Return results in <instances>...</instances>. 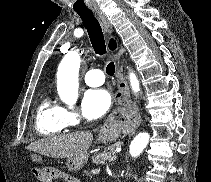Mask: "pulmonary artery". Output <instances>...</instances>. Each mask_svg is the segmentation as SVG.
<instances>
[{
    "instance_id": "1",
    "label": "pulmonary artery",
    "mask_w": 211,
    "mask_h": 182,
    "mask_svg": "<svg viewBox=\"0 0 211 182\" xmlns=\"http://www.w3.org/2000/svg\"><path fill=\"white\" fill-rule=\"evenodd\" d=\"M84 80L87 85L95 87L103 84L105 76L101 69H92L85 74Z\"/></svg>"
}]
</instances>
